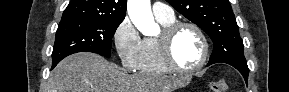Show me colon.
I'll return each instance as SVG.
<instances>
[{
	"label": "colon",
	"mask_w": 289,
	"mask_h": 92,
	"mask_svg": "<svg viewBox=\"0 0 289 92\" xmlns=\"http://www.w3.org/2000/svg\"><path fill=\"white\" fill-rule=\"evenodd\" d=\"M210 87L213 92H227L228 91V83L223 79L212 82Z\"/></svg>",
	"instance_id": "obj_1"
}]
</instances>
